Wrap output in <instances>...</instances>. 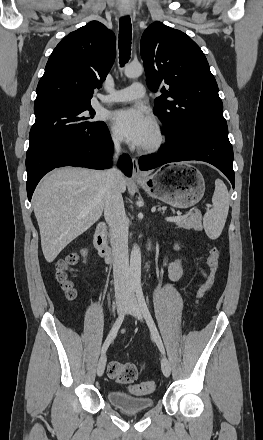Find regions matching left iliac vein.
I'll return each mask as SVG.
<instances>
[{"mask_svg":"<svg viewBox=\"0 0 263 440\" xmlns=\"http://www.w3.org/2000/svg\"><path fill=\"white\" fill-rule=\"evenodd\" d=\"M128 302H129V304H128L129 314L132 315L133 317H135L136 319H138L139 321H143L141 308H140V305L138 304L135 296L131 295L129 297ZM161 369H162L163 374L166 377L170 376L171 366H170V363L166 357H162V359H161Z\"/></svg>","mask_w":263,"mask_h":440,"instance_id":"obj_1","label":"left iliac vein"}]
</instances>
